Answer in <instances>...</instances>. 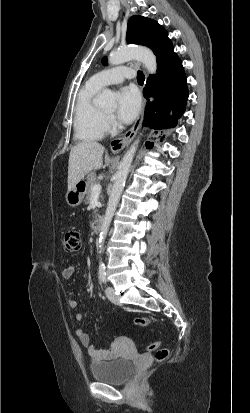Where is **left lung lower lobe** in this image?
<instances>
[{"mask_svg": "<svg viewBox=\"0 0 250 413\" xmlns=\"http://www.w3.org/2000/svg\"><path fill=\"white\" fill-rule=\"evenodd\" d=\"M154 54L157 73L149 76L143 90L147 99L143 125L160 130L176 126L185 111L189 93L182 61L173 45L167 43L161 50H154ZM146 146L151 148L153 143L147 142Z\"/></svg>", "mask_w": 250, "mask_h": 413, "instance_id": "1", "label": "left lung lower lobe"}]
</instances>
